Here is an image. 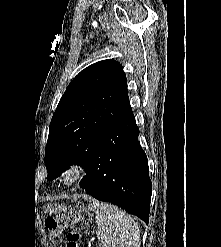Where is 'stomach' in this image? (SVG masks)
Listing matches in <instances>:
<instances>
[{"instance_id": "obj_1", "label": "stomach", "mask_w": 221, "mask_h": 247, "mask_svg": "<svg viewBox=\"0 0 221 247\" xmlns=\"http://www.w3.org/2000/svg\"><path fill=\"white\" fill-rule=\"evenodd\" d=\"M44 212L48 214H53L56 213L58 210H64L66 209V206H60V205H52V204H47L43 206ZM82 211L86 212V209L82 208Z\"/></svg>"}]
</instances>
